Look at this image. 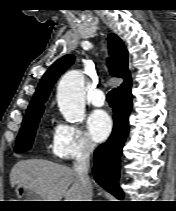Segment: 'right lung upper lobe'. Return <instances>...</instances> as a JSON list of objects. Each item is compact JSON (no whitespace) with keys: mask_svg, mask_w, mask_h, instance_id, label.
<instances>
[{"mask_svg":"<svg viewBox=\"0 0 176 211\" xmlns=\"http://www.w3.org/2000/svg\"><path fill=\"white\" fill-rule=\"evenodd\" d=\"M111 62L109 63L110 74L121 77L124 82L116 89V95L130 91L131 79L128 70V53L121 39L115 34L108 36ZM74 62L73 55H65L57 60L44 74L38 88L29 104L26 116L33 115L44 110V102L58 77Z\"/></svg>","mask_w":176,"mask_h":211,"instance_id":"cb5924a9","label":"right lung upper lobe"}]
</instances>
